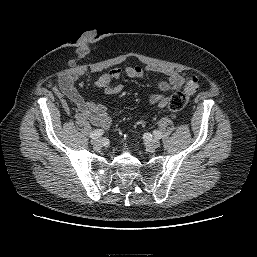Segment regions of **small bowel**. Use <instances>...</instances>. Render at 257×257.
Segmentation results:
<instances>
[{
  "label": "small bowel",
  "instance_id": "1",
  "mask_svg": "<svg viewBox=\"0 0 257 257\" xmlns=\"http://www.w3.org/2000/svg\"><path fill=\"white\" fill-rule=\"evenodd\" d=\"M162 72L166 76V80L159 83V88L162 91L184 88L185 92L192 94L198 86L197 79L192 74L182 76L172 70H163ZM144 74L145 69L139 66H129L123 70L114 68L101 75L96 80L95 85L103 89L106 95L114 96L121 93L123 86L121 84L113 85L112 83L118 81L122 75H126L129 78L141 79ZM78 77L79 74L76 72L64 73L59 77L58 83H50V87L60 98L66 97L75 104L78 116L88 119L95 126L108 129L111 125L108 108L104 105L87 101L81 96L75 87ZM168 102L169 98L161 94H155L149 98V104L151 106L165 107Z\"/></svg>",
  "mask_w": 257,
  "mask_h": 257
}]
</instances>
